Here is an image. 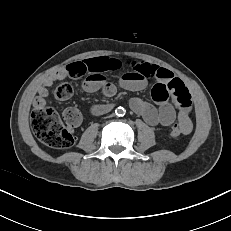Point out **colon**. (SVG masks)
Masks as SVG:
<instances>
[{
  "instance_id": "obj_1",
  "label": "colon",
  "mask_w": 231,
  "mask_h": 231,
  "mask_svg": "<svg viewBox=\"0 0 231 231\" xmlns=\"http://www.w3.org/2000/svg\"><path fill=\"white\" fill-rule=\"evenodd\" d=\"M67 75L75 78L83 75V70L78 63L66 66ZM73 92L69 83H61L54 90V95L59 100L68 99ZM81 122V114L77 109L67 108L62 115L46 105H36L31 113V125L35 136L44 144L56 149H68L74 144L72 129ZM184 129L179 123L171 128V135L179 137L184 134Z\"/></svg>"
}]
</instances>
